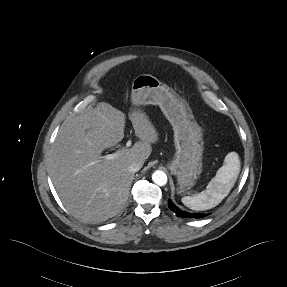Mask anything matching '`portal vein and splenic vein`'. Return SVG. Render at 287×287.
Masks as SVG:
<instances>
[{
    "label": "portal vein and splenic vein",
    "instance_id": "portal-vein-and-splenic-vein-1",
    "mask_svg": "<svg viewBox=\"0 0 287 287\" xmlns=\"http://www.w3.org/2000/svg\"><path fill=\"white\" fill-rule=\"evenodd\" d=\"M126 146L129 147L131 146V141H127ZM119 156V151L112 153V154H108L106 156L103 157L104 160H113L115 158H117Z\"/></svg>",
    "mask_w": 287,
    "mask_h": 287
}]
</instances>
